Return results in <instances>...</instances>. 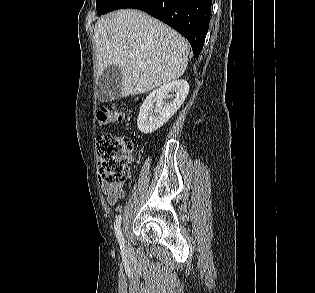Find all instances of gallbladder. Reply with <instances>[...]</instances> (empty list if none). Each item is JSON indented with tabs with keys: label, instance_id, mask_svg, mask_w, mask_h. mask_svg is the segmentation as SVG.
<instances>
[{
	"label": "gallbladder",
	"instance_id": "obj_1",
	"mask_svg": "<svg viewBox=\"0 0 315 293\" xmlns=\"http://www.w3.org/2000/svg\"><path fill=\"white\" fill-rule=\"evenodd\" d=\"M122 72L115 65L106 67L99 78L100 98L103 101L117 100L121 97Z\"/></svg>",
	"mask_w": 315,
	"mask_h": 293
}]
</instances>
